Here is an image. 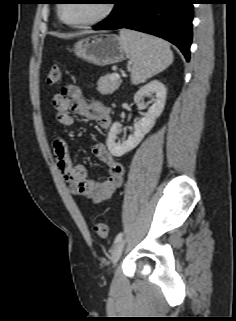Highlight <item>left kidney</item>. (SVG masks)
Instances as JSON below:
<instances>
[{
	"label": "left kidney",
	"mask_w": 236,
	"mask_h": 321,
	"mask_svg": "<svg viewBox=\"0 0 236 321\" xmlns=\"http://www.w3.org/2000/svg\"><path fill=\"white\" fill-rule=\"evenodd\" d=\"M154 94L153 104L143 117L134 124L133 134L128 136V139L120 142L117 140V132L121 128V124L115 122L110 128L107 147L113 156L120 157L125 153L134 149L144 138V136L152 129L155 120L161 115L166 101L167 90L163 83L154 80L143 86L134 95V102L139 108L143 107V98Z\"/></svg>",
	"instance_id": "obj_1"
}]
</instances>
